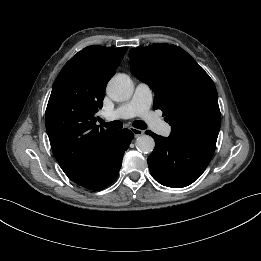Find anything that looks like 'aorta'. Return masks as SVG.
<instances>
[{
	"mask_svg": "<svg viewBox=\"0 0 261 261\" xmlns=\"http://www.w3.org/2000/svg\"><path fill=\"white\" fill-rule=\"evenodd\" d=\"M133 91V82L126 74H116L107 85L108 96L116 102L129 100L133 95ZM135 145L138 151L148 154L154 150L155 141L149 135H141L136 139Z\"/></svg>",
	"mask_w": 261,
	"mask_h": 261,
	"instance_id": "762f6f07",
	"label": "aorta"
}]
</instances>
